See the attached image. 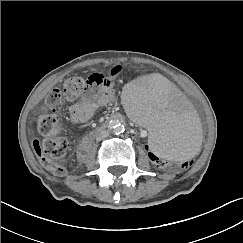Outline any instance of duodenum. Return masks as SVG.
<instances>
[{
  "instance_id": "1",
  "label": "duodenum",
  "mask_w": 243,
  "mask_h": 243,
  "mask_svg": "<svg viewBox=\"0 0 243 243\" xmlns=\"http://www.w3.org/2000/svg\"><path fill=\"white\" fill-rule=\"evenodd\" d=\"M123 119V116L120 114H115L111 117V119L106 122L101 128L105 129L109 126L110 123H114V122H119ZM90 142L91 140L89 138L85 139L81 145L78 148V155L82 158H84L90 148Z\"/></svg>"
}]
</instances>
